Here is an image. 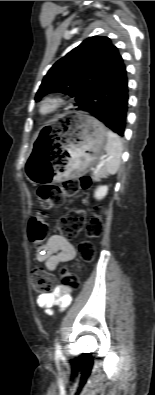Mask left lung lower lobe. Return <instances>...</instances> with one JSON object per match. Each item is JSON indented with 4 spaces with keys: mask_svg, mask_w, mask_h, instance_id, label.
I'll return each mask as SVG.
<instances>
[{
    "mask_svg": "<svg viewBox=\"0 0 155 395\" xmlns=\"http://www.w3.org/2000/svg\"><path fill=\"white\" fill-rule=\"evenodd\" d=\"M128 78L123 60L112 68L81 103L88 112L120 136L124 135L128 109Z\"/></svg>",
    "mask_w": 155,
    "mask_h": 395,
    "instance_id": "left-lung-lower-lobe-1",
    "label": "left lung lower lobe"
}]
</instances>
